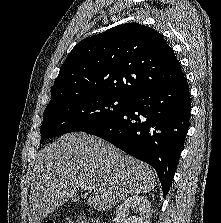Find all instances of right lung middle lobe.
<instances>
[{"label": "right lung middle lobe", "instance_id": "1", "mask_svg": "<svg viewBox=\"0 0 221 223\" xmlns=\"http://www.w3.org/2000/svg\"><path fill=\"white\" fill-rule=\"evenodd\" d=\"M131 99L113 95L85 94L49 103L43 114L42 144L47 138L87 131L121 114Z\"/></svg>", "mask_w": 221, "mask_h": 223}]
</instances>
